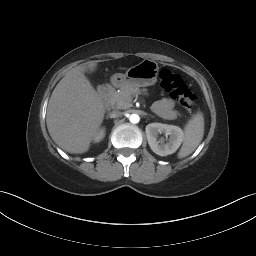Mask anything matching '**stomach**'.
<instances>
[{"mask_svg": "<svg viewBox=\"0 0 256 256\" xmlns=\"http://www.w3.org/2000/svg\"><path fill=\"white\" fill-rule=\"evenodd\" d=\"M158 64L153 60H143L139 64L130 67L124 74L116 73L111 76V84L116 88L146 87L157 82Z\"/></svg>", "mask_w": 256, "mask_h": 256, "instance_id": "stomach-1", "label": "stomach"}]
</instances>
